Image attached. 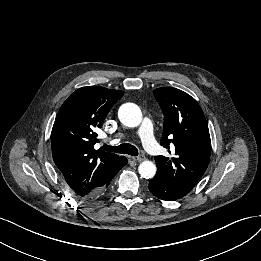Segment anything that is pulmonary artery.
Instances as JSON below:
<instances>
[{
    "mask_svg": "<svg viewBox=\"0 0 261 261\" xmlns=\"http://www.w3.org/2000/svg\"><path fill=\"white\" fill-rule=\"evenodd\" d=\"M138 136L142 139L144 149L151 155H159L161 148L154 138V127L148 117H144L137 130Z\"/></svg>",
    "mask_w": 261,
    "mask_h": 261,
    "instance_id": "pulmonary-artery-1",
    "label": "pulmonary artery"
}]
</instances>
